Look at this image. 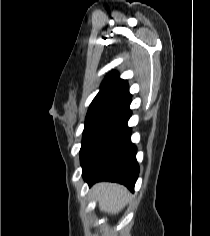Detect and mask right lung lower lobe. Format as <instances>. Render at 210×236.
I'll return each mask as SVG.
<instances>
[{
  "instance_id": "98d812e1",
  "label": "right lung lower lobe",
  "mask_w": 210,
  "mask_h": 236,
  "mask_svg": "<svg viewBox=\"0 0 210 236\" xmlns=\"http://www.w3.org/2000/svg\"><path fill=\"white\" fill-rule=\"evenodd\" d=\"M131 97L106 118L84 141L80 150L82 176L91 186L98 181L124 184L131 191L139 174L136 147L127 122Z\"/></svg>"
}]
</instances>
